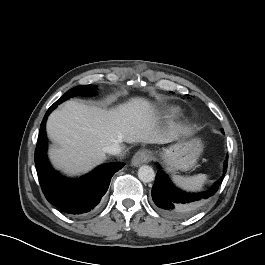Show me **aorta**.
<instances>
[{
  "label": "aorta",
  "mask_w": 265,
  "mask_h": 265,
  "mask_svg": "<svg viewBox=\"0 0 265 265\" xmlns=\"http://www.w3.org/2000/svg\"><path fill=\"white\" fill-rule=\"evenodd\" d=\"M138 178L144 182H152L155 178V172L151 166L143 165L138 170Z\"/></svg>",
  "instance_id": "obj_1"
}]
</instances>
